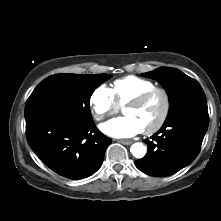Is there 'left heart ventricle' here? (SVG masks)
<instances>
[{"label":"left heart ventricle","mask_w":221,"mask_h":221,"mask_svg":"<svg viewBox=\"0 0 221 221\" xmlns=\"http://www.w3.org/2000/svg\"><path fill=\"white\" fill-rule=\"evenodd\" d=\"M163 109V97L161 94H156L141 106L124 108L123 113L135 118L144 130L152 127L159 120Z\"/></svg>","instance_id":"b2bd125f"}]
</instances>
